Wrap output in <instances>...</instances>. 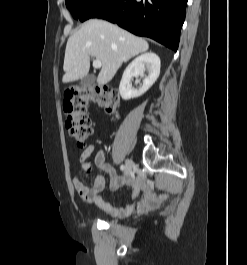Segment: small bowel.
<instances>
[{"label": "small bowel", "mask_w": 247, "mask_h": 265, "mask_svg": "<svg viewBox=\"0 0 247 265\" xmlns=\"http://www.w3.org/2000/svg\"><path fill=\"white\" fill-rule=\"evenodd\" d=\"M94 151L95 146L89 145L80 154V163L83 169L87 170L89 168L88 159L93 155ZM94 163L98 169L109 175L110 188L112 190L125 183L124 179L118 177L113 167L105 161V155L102 151L95 154ZM129 185L132 187L130 203L124 207H115L103 200L102 192L105 187L103 176L97 175L91 187L86 186L78 177L73 179V186L80 198L89 204L96 205L112 218H124L134 212L145 213L154 210L169 197L166 193L157 195L150 188H145L141 194L139 185L134 181H130Z\"/></svg>", "instance_id": "small-bowel-1"}]
</instances>
